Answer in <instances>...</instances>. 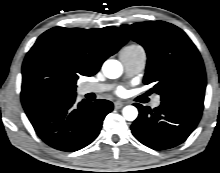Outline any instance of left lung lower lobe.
<instances>
[{
    "instance_id": "obj_1",
    "label": "left lung lower lobe",
    "mask_w": 220,
    "mask_h": 173,
    "mask_svg": "<svg viewBox=\"0 0 220 173\" xmlns=\"http://www.w3.org/2000/svg\"><path fill=\"white\" fill-rule=\"evenodd\" d=\"M135 106L139 116L131 126L132 133L142 144L155 150L169 149L184 142L202 115V110L167 101L153 110L140 104Z\"/></svg>"
}]
</instances>
